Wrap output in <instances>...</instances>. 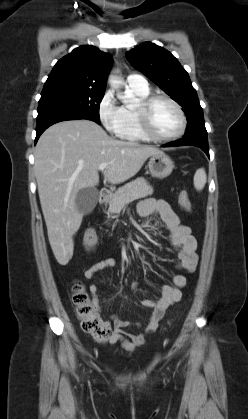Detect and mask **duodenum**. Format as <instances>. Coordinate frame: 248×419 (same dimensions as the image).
<instances>
[{"instance_id": "410a0bca", "label": "duodenum", "mask_w": 248, "mask_h": 419, "mask_svg": "<svg viewBox=\"0 0 248 419\" xmlns=\"http://www.w3.org/2000/svg\"><path fill=\"white\" fill-rule=\"evenodd\" d=\"M109 191L107 189H101L99 195V202L101 205H106L109 200Z\"/></svg>"}]
</instances>
